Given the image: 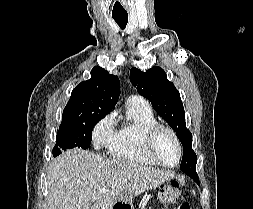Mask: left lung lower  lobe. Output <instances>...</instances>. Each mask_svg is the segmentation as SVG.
Wrapping results in <instances>:
<instances>
[{
  "mask_svg": "<svg viewBox=\"0 0 253 209\" xmlns=\"http://www.w3.org/2000/svg\"><path fill=\"white\" fill-rule=\"evenodd\" d=\"M190 177H191L198 185L200 184V183H199V179H198L197 173L191 175Z\"/></svg>",
  "mask_w": 253,
  "mask_h": 209,
  "instance_id": "0a47b994",
  "label": "left lung lower lobe"
}]
</instances>
